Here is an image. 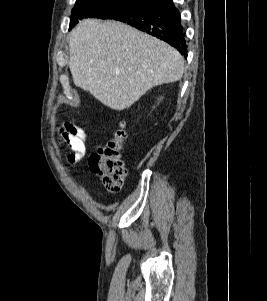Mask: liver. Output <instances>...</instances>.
I'll list each match as a JSON object with an SVG mask.
<instances>
[{"instance_id":"liver-1","label":"liver","mask_w":267,"mask_h":301,"mask_svg":"<svg viewBox=\"0 0 267 301\" xmlns=\"http://www.w3.org/2000/svg\"><path fill=\"white\" fill-rule=\"evenodd\" d=\"M69 50L76 86L117 111L184 73V59L176 49L117 21H80L70 34Z\"/></svg>"}]
</instances>
